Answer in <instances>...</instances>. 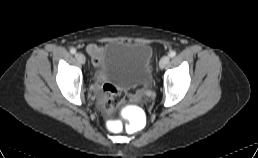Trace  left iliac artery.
<instances>
[{
    "mask_svg": "<svg viewBox=\"0 0 258 158\" xmlns=\"http://www.w3.org/2000/svg\"><path fill=\"white\" fill-rule=\"evenodd\" d=\"M176 55V52L174 50L170 51L169 56L172 58Z\"/></svg>",
    "mask_w": 258,
    "mask_h": 158,
    "instance_id": "obj_1",
    "label": "left iliac artery"
}]
</instances>
